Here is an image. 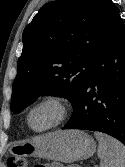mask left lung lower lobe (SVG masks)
<instances>
[{
  "label": "left lung lower lobe",
  "instance_id": "0a47b994",
  "mask_svg": "<svg viewBox=\"0 0 125 167\" xmlns=\"http://www.w3.org/2000/svg\"><path fill=\"white\" fill-rule=\"evenodd\" d=\"M73 109L63 129L100 131L125 145V26L120 15L101 42Z\"/></svg>",
  "mask_w": 125,
  "mask_h": 167
}]
</instances>
